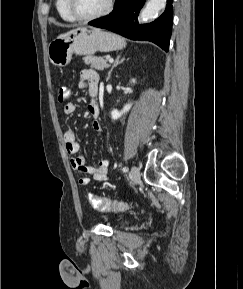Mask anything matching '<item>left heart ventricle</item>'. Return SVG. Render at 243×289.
I'll return each instance as SVG.
<instances>
[{"label": "left heart ventricle", "mask_w": 243, "mask_h": 289, "mask_svg": "<svg viewBox=\"0 0 243 289\" xmlns=\"http://www.w3.org/2000/svg\"><path fill=\"white\" fill-rule=\"evenodd\" d=\"M76 11L83 16H91L102 11L108 0H74Z\"/></svg>", "instance_id": "b2bd125f"}]
</instances>
